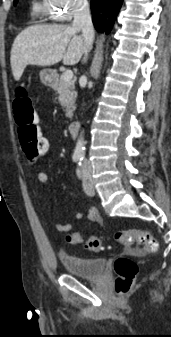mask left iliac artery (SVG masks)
<instances>
[{"label":"left iliac artery","instance_id":"left-iliac-artery-1","mask_svg":"<svg viewBox=\"0 0 171 337\" xmlns=\"http://www.w3.org/2000/svg\"><path fill=\"white\" fill-rule=\"evenodd\" d=\"M79 165H80V163H79ZM77 173H78V175L80 176V170H79V169H77Z\"/></svg>","mask_w":171,"mask_h":337}]
</instances>
